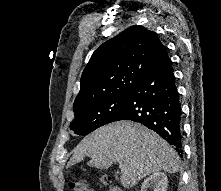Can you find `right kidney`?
I'll use <instances>...</instances> for the list:
<instances>
[{
  "label": "right kidney",
  "mask_w": 221,
  "mask_h": 191,
  "mask_svg": "<svg viewBox=\"0 0 221 191\" xmlns=\"http://www.w3.org/2000/svg\"><path fill=\"white\" fill-rule=\"evenodd\" d=\"M168 186V179L165 173L155 172L144 180L139 191H166Z\"/></svg>",
  "instance_id": "right-kidney-1"
}]
</instances>
